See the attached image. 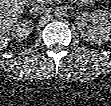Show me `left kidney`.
I'll return each instance as SVG.
<instances>
[{
    "mask_svg": "<svg viewBox=\"0 0 111 106\" xmlns=\"http://www.w3.org/2000/svg\"><path fill=\"white\" fill-rule=\"evenodd\" d=\"M76 25L88 42L97 44L111 41V14L105 10L98 9L93 13L78 15Z\"/></svg>",
    "mask_w": 111,
    "mask_h": 106,
    "instance_id": "left-kidney-1",
    "label": "left kidney"
}]
</instances>
